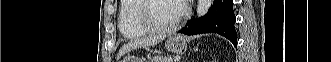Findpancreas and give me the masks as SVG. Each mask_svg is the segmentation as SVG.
<instances>
[{
	"label": "pancreas",
	"instance_id": "1",
	"mask_svg": "<svg viewBox=\"0 0 331 62\" xmlns=\"http://www.w3.org/2000/svg\"><path fill=\"white\" fill-rule=\"evenodd\" d=\"M151 62H173L171 56H155Z\"/></svg>",
	"mask_w": 331,
	"mask_h": 62
}]
</instances>
